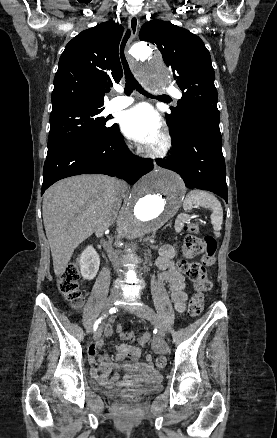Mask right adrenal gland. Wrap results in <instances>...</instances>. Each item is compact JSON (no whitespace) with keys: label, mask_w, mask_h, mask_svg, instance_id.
I'll return each instance as SVG.
<instances>
[{"label":"right adrenal gland","mask_w":277,"mask_h":438,"mask_svg":"<svg viewBox=\"0 0 277 438\" xmlns=\"http://www.w3.org/2000/svg\"><path fill=\"white\" fill-rule=\"evenodd\" d=\"M116 216H117V214H115L114 218H112V222H114V220H116Z\"/></svg>","instance_id":"1"}]
</instances>
